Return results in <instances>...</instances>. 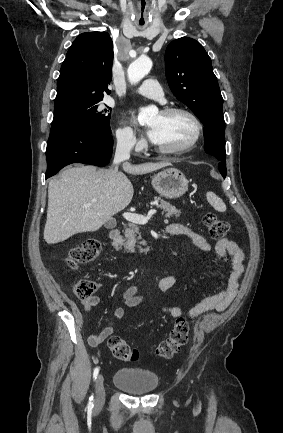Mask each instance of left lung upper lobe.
I'll return each instance as SVG.
<instances>
[{
  "label": "left lung upper lobe",
  "instance_id": "1",
  "mask_svg": "<svg viewBox=\"0 0 283 433\" xmlns=\"http://www.w3.org/2000/svg\"><path fill=\"white\" fill-rule=\"evenodd\" d=\"M165 71L175 97L204 124L205 140L216 138L224 144L223 98L203 46L188 37L172 41L165 52Z\"/></svg>",
  "mask_w": 283,
  "mask_h": 433
}]
</instances>
